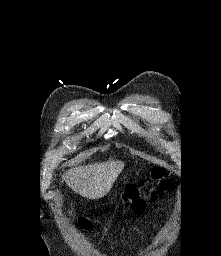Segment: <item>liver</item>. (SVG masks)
Here are the masks:
<instances>
[{
	"label": "liver",
	"instance_id": "obj_1",
	"mask_svg": "<svg viewBox=\"0 0 221 256\" xmlns=\"http://www.w3.org/2000/svg\"><path fill=\"white\" fill-rule=\"evenodd\" d=\"M123 168L118 160L83 165L67 171L62 180L82 197L97 200L109 193Z\"/></svg>",
	"mask_w": 221,
	"mask_h": 256
}]
</instances>
